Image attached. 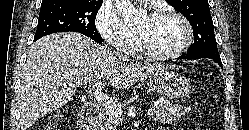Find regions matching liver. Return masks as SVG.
<instances>
[{
	"label": "liver",
	"instance_id": "obj_1",
	"mask_svg": "<svg viewBox=\"0 0 249 130\" xmlns=\"http://www.w3.org/2000/svg\"><path fill=\"white\" fill-rule=\"evenodd\" d=\"M167 68L130 60L75 32L41 38L31 46L23 67L18 97L21 129L71 101L79 86L105 78L113 89L123 90Z\"/></svg>",
	"mask_w": 249,
	"mask_h": 130
}]
</instances>
